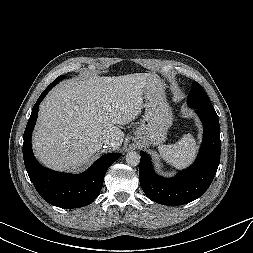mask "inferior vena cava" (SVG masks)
<instances>
[{"instance_id":"obj_1","label":"inferior vena cava","mask_w":253,"mask_h":253,"mask_svg":"<svg viewBox=\"0 0 253 253\" xmlns=\"http://www.w3.org/2000/svg\"><path fill=\"white\" fill-rule=\"evenodd\" d=\"M102 142L105 145H109V144H112L114 142V139H113V137H111L109 135H104L103 138H102Z\"/></svg>"}]
</instances>
